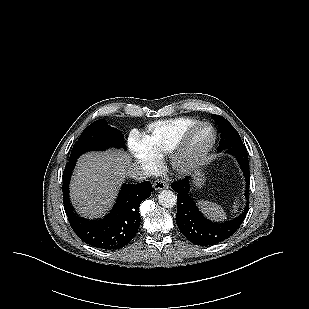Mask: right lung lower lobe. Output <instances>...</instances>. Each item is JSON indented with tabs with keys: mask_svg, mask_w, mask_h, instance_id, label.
<instances>
[{
	"mask_svg": "<svg viewBox=\"0 0 309 309\" xmlns=\"http://www.w3.org/2000/svg\"><path fill=\"white\" fill-rule=\"evenodd\" d=\"M76 160H69L66 164L62 189L64 209L72 229L82 241L93 247L104 250L124 247L138 231L139 206L151 195V183L124 184L108 215L99 220H87L77 215L69 199V180Z\"/></svg>",
	"mask_w": 309,
	"mask_h": 309,
	"instance_id": "1",
	"label": "right lung lower lobe"
}]
</instances>
